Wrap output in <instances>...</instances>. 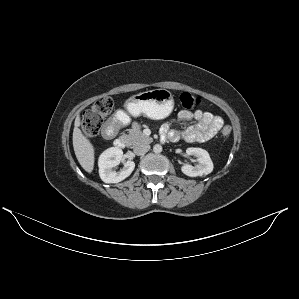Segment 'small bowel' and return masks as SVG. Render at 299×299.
Segmentation results:
<instances>
[{
  "label": "small bowel",
  "instance_id": "obj_1",
  "mask_svg": "<svg viewBox=\"0 0 299 299\" xmlns=\"http://www.w3.org/2000/svg\"><path fill=\"white\" fill-rule=\"evenodd\" d=\"M180 122L195 121V124L185 130L171 129L170 125L162 127V136L168 137L172 141L184 140L188 143L205 142L213 138L222 128L224 120L210 112L201 110H182L178 114ZM110 122H118L117 118Z\"/></svg>",
  "mask_w": 299,
  "mask_h": 299
}]
</instances>
